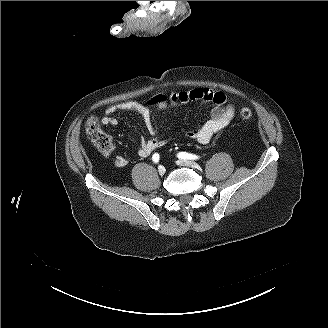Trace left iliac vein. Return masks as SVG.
<instances>
[{"instance_id": "1", "label": "left iliac vein", "mask_w": 328, "mask_h": 328, "mask_svg": "<svg viewBox=\"0 0 328 328\" xmlns=\"http://www.w3.org/2000/svg\"><path fill=\"white\" fill-rule=\"evenodd\" d=\"M176 163L180 166H190V167H195V168L199 167V164H197L194 161H189V160H178Z\"/></svg>"}]
</instances>
